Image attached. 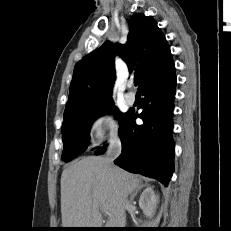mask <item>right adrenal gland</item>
I'll use <instances>...</instances> for the list:
<instances>
[{"label": "right adrenal gland", "mask_w": 231, "mask_h": 231, "mask_svg": "<svg viewBox=\"0 0 231 231\" xmlns=\"http://www.w3.org/2000/svg\"><path fill=\"white\" fill-rule=\"evenodd\" d=\"M145 186H146V185H143V184L139 185L138 188L135 190V192H133V194L131 195L130 200H133L134 197L137 195L138 191H139L141 188L145 187Z\"/></svg>", "instance_id": "1"}]
</instances>
